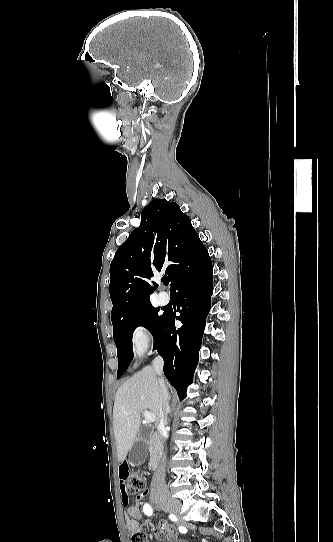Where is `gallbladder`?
<instances>
[{
	"label": "gallbladder",
	"mask_w": 333,
	"mask_h": 542,
	"mask_svg": "<svg viewBox=\"0 0 333 542\" xmlns=\"http://www.w3.org/2000/svg\"><path fill=\"white\" fill-rule=\"evenodd\" d=\"M151 428L143 426L140 430L139 438L135 444H133L130 454L129 462L131 466H141L145 462L148 456V440H150Z\"/></svg>",
	"instance_id": "obj_1"
}]
</instances>
